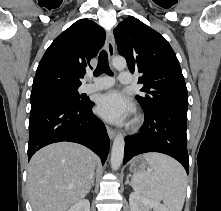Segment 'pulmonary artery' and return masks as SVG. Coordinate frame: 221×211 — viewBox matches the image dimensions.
<instances>
[{"label": "pulmonary artery", "instance_id": "1", "mask_svg": "<svg viewBox=\"0 0 221 211\" xmlns=\"http://www.w3.org/2000/svg\"><path fill=\"white\" fill-rule=\"evenodd\" d=\"M119 81L122 84H131L133 82V75L129 71H123L119 75ZM114 84V79L108 76L94 78L88 83L81 86L83 92H94L111 87Z\"/></svg>", "mask_w": 221, "mask_h": 211}]
</instances>
